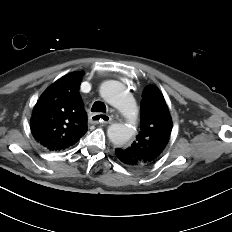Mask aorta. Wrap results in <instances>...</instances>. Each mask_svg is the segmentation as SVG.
Returning a JSON list of instances; mask_svg holds the SVG:
<instances>
[{
    "instance_id": "aorta-1",
    "label": "aorta",
    "mask_w": 232,
    "mask_h": 232,
    "mask_svg": "<svg viewBox=\"0 0 232 232\" xmlns=\"http://www.w3.org/2000/svg\"><path fill=\"white\" fill-rule=\"evenodd\" d=\"M101 97L116 107L128 120L134 122L137 118V106L133 97L126 91L125 86L114 80L104 82L100 87ZM132 124H112L107 135L112 143L117 146L126 144L134 135Z\"/></svg>"
}]
</instances>
